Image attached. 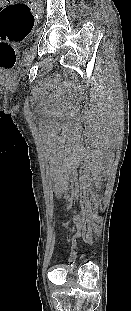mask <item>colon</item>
I'll return each instance as SVG.
<instances>
[{"label":"colon","mask_w":131,"mask_h":311,"mask_svg":"<svg viewBox=\"0 0 131 311\" xmlns=\"http://www.w3.org/2000/svg\"><path fill=\"white\" fill-rule=\"evenodd\" d=\"M34 26V14L28 4L0 0V71H9L16 61L13 42L23 41Z\"/></svg>","instance_id":"1"}]
</instances>
